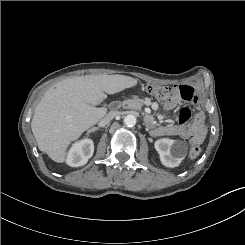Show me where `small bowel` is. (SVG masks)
I'll return each mask as SVG.
<instances>
[{
  "instance_id": "c3829d8e",
  "label": "small bowel",
  "mask_w": 245,
  "mask_h": 245,
  "mask_svg": "<svg viewBox=\"0 0 245 245\" xmlns=\"http://www.w3.org/2000/svg\"><path fill=\"white\" fill-rule=\"evenodd\" d=\"M199 98L198 93L189 85L176 87L173 96L164 104L167 110H173L182 101L196 102ZM205 115L199 111L192 116L190 108L184 107L178 115V122L173 125L156 126L153 121L148 125L153 136H179L189 141L190 144L198 145L204 142L207 136L205 126Z\"/></svg>"
}]
</instances>
